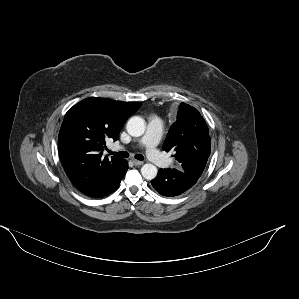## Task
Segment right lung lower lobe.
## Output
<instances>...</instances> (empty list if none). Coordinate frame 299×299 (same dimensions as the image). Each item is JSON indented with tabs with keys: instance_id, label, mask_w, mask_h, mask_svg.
Wrapping results in <instances>:
<instances>
[{
	"instance_id": "right-lung-lower-lobe-1",
	"label": "right lung lower lobe",
	"mask_w": 299,
	"mask_h": 299,
	"mask_svg": "<svg viewBox=\"0 0 299 299\" xmlns=\"http://www.w3.org/2000/svg\"><path fill=\"white\" fill-rule=\"evenodd\" d=\"M127 170H128V162L126 160H123L121 165L117 168L113 179L111 180L109 185L106 187V189L94 197H103V196H106V195L112 193L113 191H115L116 188L119 186L122 178L126 174Z\"/></svg>"
}]
</instances>
